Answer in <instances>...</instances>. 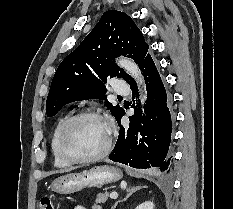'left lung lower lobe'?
<instances>
[{"instance_id": "left-lung-lower-lobe-1", "label": "left lung lower lobe", "mask_w": 233, "mask_h": 209, "mask_svg": "<svg viewBox=\"0 0 233 209\" xmlns=\"http://www.w3.org/2000/svg\"><path fill=\"white\" fill-rule=\"evenodd\" d=\"M139 67L143 72L148 94L144 105L145 115H142L138 104L134 105V115L129 117V127L125 128L121 125V118L125 114L122 110L116 118L120 126L119 137L109 159L133 168L168 172L171 162L168 150L172 132L170 102L150 54ZM128 84L132 90V98H138L135 80L131 78Z\"/></svg>"}]
</instances>
